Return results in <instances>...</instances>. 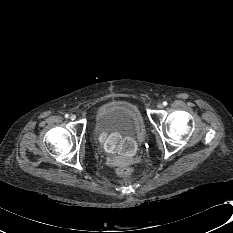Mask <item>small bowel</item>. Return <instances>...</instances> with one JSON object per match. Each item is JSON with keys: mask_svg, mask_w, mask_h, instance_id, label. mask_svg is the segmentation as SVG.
Listing matches in <instances>:
<instances>
[{"mask_svg": "<svg viewBox=\"0 0 233 233\" xmlns=\"http://www.w3.org/2000/svg\"><path fill=\"white\" fill-rule=\"evenodd\" d=\"M98 146L102 150H114L121 157H130L134 153V142L123 133H102L98 137Z\"/></svg>", "mask_w": 233, "mask_h": 233, "instance_id": "c3829d8e", "label": "small bowel"}]
</instances>
